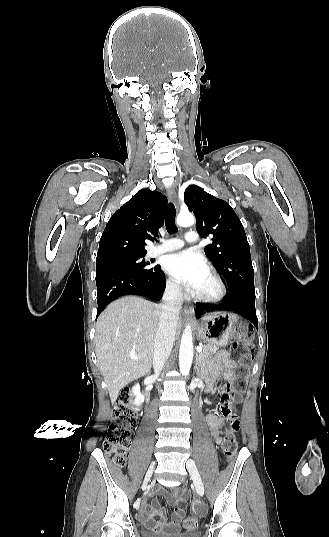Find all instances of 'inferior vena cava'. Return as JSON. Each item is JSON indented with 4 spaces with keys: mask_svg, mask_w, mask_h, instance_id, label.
Returning a JSON list of instances; mask_svg holds the SVG:
<instances>
[{
    "mask_svg": "<svg viewBox=\"0 0 329 537\" xmlns=\"http://www.w3.org/2000/svg\"><path fill=\"white\" fill-rule=\"evenodd\" d=\"M162 299L163 304L160 307V319L154 341L155 376L160 374L172 351L178 315L183 303L181 286L177 284L168 286Z\"/></svg>",
    "mask_w": 329,
    "mask_h": 537,
    "instance_id": "602c4592",
    "label": "inferior vena cava"
}]
</instances>
